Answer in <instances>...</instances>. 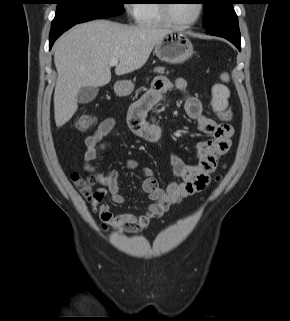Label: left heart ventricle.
<instances>
[{"label": "left heart ventricle", "instance_id": "obj_1", "mask_svg": "<svg viewBox=\"0 0 290 321\" xmlns=\"http://www.w3.org/2000/svg\"><path fill=\"white\" fill-rule=\"evenodd\" d=\"M197 13V1L177 0L170 6V14L178 22L192 20Z\"/></svg>", "mask_w": 290, "mask_h": 321}]
</instances>
